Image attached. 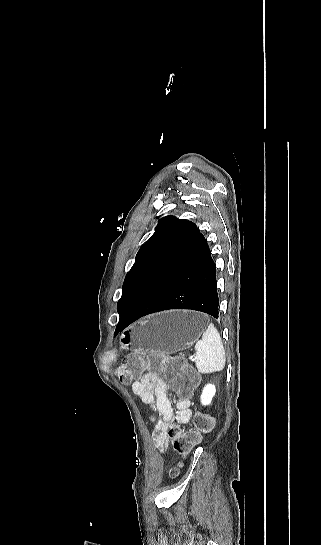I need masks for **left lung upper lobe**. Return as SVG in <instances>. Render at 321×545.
<instances>
[{
  "label": "left lung upper lobe",
  "instance_id": "1",
  "mask_svg": "<svg viewBox=\"0 0 321 545\" xmlns=\"http://www.w3.org/2000/svg\"><path fill=\"white\" fill-rule=\"evenodd\" d=\"M189 221L167 216L159 220L154 234L138 251L127 273L117 309L120 316L129 313L150 280L162 267Z\"/></svg>",
  "mask_w": 321,
  "mask_h": 545
}]
</instances>
